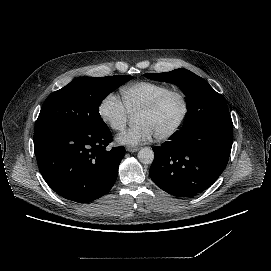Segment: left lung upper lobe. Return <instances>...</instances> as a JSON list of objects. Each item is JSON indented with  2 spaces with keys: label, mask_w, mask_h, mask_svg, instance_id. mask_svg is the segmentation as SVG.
Instances as JSON below:
<instances>
[{
  "label": "left lung upper lobe",
  "mask_w": 271,
  "mask_h": 271,
  "mask_svg": "<svg viewBox=\"0 0 271 271\" xmlns=\"http://www.w3.org/2000/svg\"><path fill=\"white\" fill-rule=\"evenodd\" d=\"M145 77L174 83L186 95L187 116L181 131H187L191 127L205 122L232 123L222 95L193 72L179 68L166 73L145 74Z\"/></svg>",
  "instance_id": "1"
}]
</instances>
